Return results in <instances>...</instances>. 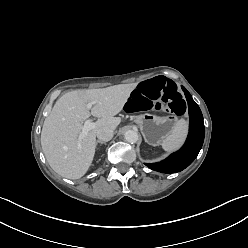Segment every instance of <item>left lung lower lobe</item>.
<instances>
[{"label":"left lung lower lobe","instance_id":"left-lung-lower-lobe-1","mask_svg":"<svg viewBox=\"0 0 248 248\" xmlns=\"http://www.w3.org/2000/svg\"><path fill=\"white\" fill-rule=\"evenodd\" d=\"M188 104L190 117L189 133L183 147L158 163H145L150 169L162 173H176L189 166L197 157L204 141L205 129L199 106L190 93L182 87Z\"/></svg>","mask_w":248,"mask_h":248}]
</instances>
